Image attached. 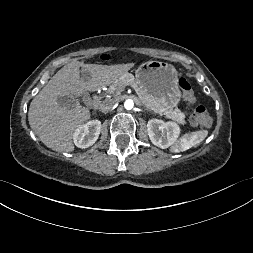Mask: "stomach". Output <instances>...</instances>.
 Wrapping results in <instances>:
<instances>
[{
  "instance_id": "1",
  "label": "stomach",
  "mask_w": 253,
  "mask_h": 253,
  "mask_svg": "<svg viewBox=\"0 0 253 253\" xmlns=\"http://www.w3.org/2000/svg\"><path fill=\"white\" fill-rule=\"evenodd\" d=\"M140 89L158 99L165 107L173 109L181 100L178 72L171 64L149 61L139 66L135 73Z\"/></svg>"
}]
</instances>
